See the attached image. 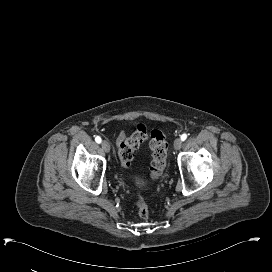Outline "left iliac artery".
Instances as JSON below:
<instances>
[{
  "mask_svg": "<svg viewBox=\"0 0 272 272\" xmlns=\"http://www.w3.org/2000/svg\"><path fill=\"white\" fill-rule=\"evenodd\" d=\"M186 138H187V134L184 133V134L181 135V140L182 141L186 140Z\"/></svg>",
  "mask_w": 272,
  "mask_h": 272,
  "instance_id": "44dca946",
  "label": "left iliac artery"
}]
</instances>
